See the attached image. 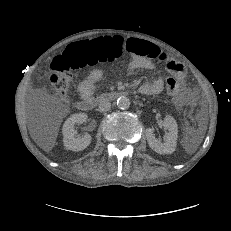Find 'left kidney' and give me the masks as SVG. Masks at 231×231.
I'll return each instance as SVG.
<instances>
[{
  "label": "left kidney",
  "instance_id": "left-kidney-1",
  "mask_svg": "<svg viewBox=\"0 0 231 231\" xmlns=\"http://www.w3.org/2000/svg\"><path fill=\"white\" fill-rule=\"evenodd\" d=\"M163 125L168 133L165 135V142H160L155 138L154 130L152 128L146 129V138L151 149L159 154H171L175 151L177 137H178V126L176 120L168 115L164 118Z\"/></svg>",
  "mask_w": 231,
  "mask_h": 231
}]
</instances>
